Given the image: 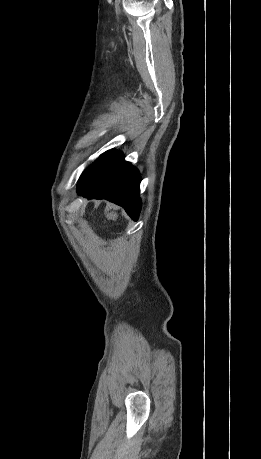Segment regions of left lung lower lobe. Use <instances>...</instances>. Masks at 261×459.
<instances>
[{"label":"left lung lower lobe","instance_id":"1","mask_svg":"<svg viewBox=\"0 0 261 459\" xmlns=\"http://www.w3.org/2000/svg\"><path fill=\"white\" fill-rule=\"evenodd\" d=\"M140 175L122 153L109 150L90 165L80 176L77 193L88 199H107L122 206L137 220L141 209Z\"/></svg>","mask_w":261,"mask_h":459}]
</instances>
